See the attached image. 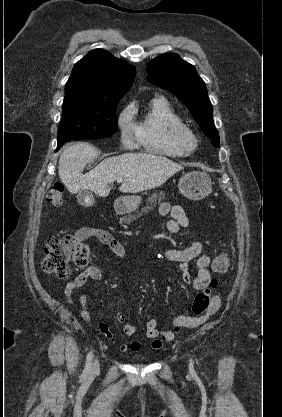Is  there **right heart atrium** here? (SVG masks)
<instances>
[{"label":"right heart atrium","mask_w":282,"mask_h":417,"mask_svg":"<svg viewBox=\"0 0 282 417\" xmlns=\"http://www.w3.org/2000/svg\"><path fill=\"white\" fill-rule=\"evenodd\" d=\"M119 126L121 129V140L123 144L128 148L134 147L136 144L135 140L137 137V129L135 122L130 118L128 113L121 117Z\"/></svg>","instance_id":"1"}]
</instances>
